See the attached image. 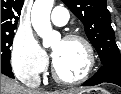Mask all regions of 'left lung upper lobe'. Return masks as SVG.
I'll list each match as a JSON object with an SVG mask.
<instances>
[{"label":"left lung upper lobe","instance_id":"1","mask_svg":"<svg viewBox=\"0 0 121 94\" xmlns=\"http://www.w3.org/2000/svg\"><path fill=\"white\" fill-rule=\"evenodd\" d=\"M84 24L85 33L103 65L121 64L106 0H62Z\"/></svg>","mask_w":121,"mask_h":94}]
</instances>
